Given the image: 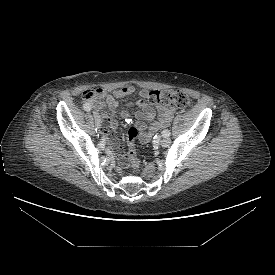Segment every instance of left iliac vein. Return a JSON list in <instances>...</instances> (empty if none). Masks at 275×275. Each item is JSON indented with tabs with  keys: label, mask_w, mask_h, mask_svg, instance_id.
Listing matches in <instances>:
<instances>
[{
	"label": "left iliac vein",
	"mask_w": 275,
	"mask_h": 275,
	"mask_svg": "<svg viewBox=\"0 0 275 275\" xmlns=\"http://www.w3.org/2000/svg\"><path fill=\"white\" fill-rule=\"evenodd\" d=\"M170 143H171V140H170L169 137H163V138L161 139V145H162L163 147L169 146Z\"/></svg>",
	"instance_id": "4c4485c4"
}]
</instances>
